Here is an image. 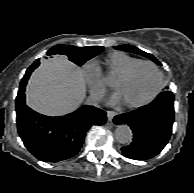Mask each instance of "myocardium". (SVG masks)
<instances>
[{"mask_svg": "<svg viewBox=\"0 0 194 193\" xmlns=\"http://www.w3.org/2000/svg\"><path fill=\"white\" fill-rule=\"evenodd\" d=\"M143 65H149V66L153 67L155 69V71L157 72V75H158L157 87H156L155 91L152 93V95L142 102H139V103H126V102H124V105L127 108L136 109V108H140V107H143V106L150 104L151 102H153L157 98V96L159 95V93L161 92V90L163 88V83H164L163 72L161 71L160 67L156 63L149 61V60H141V61L135 63L134 65H132L130 68H128L125 72H123L121 75H119L117 77L118 82L126 81L128 78L131 77V75L140 66H143ZM114 88L117 91L116 85H114Z\"/></svg>", "mask_w": 194, "mask_h": 193, "instance_id": "1", "label": "myocardium"}]
</instances>
